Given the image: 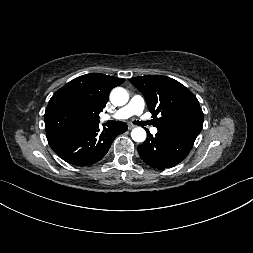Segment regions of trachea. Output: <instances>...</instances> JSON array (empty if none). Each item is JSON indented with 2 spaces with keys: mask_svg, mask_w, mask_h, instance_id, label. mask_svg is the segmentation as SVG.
<instances>
[{
  "mask_svg": "<svg viewBox=\"0 0 253 253\" xmlns=\"http://www.w3.org/2000/svg\"><path fill=\"white\" fill-rule=\"evenodd\" d=\"M133 123L139 126H144L146 124L145 122L142 121H134Z\"/></svg>",
  "mask_w": 253,
  "mask_h": 253,
  "instance_id": "trachea-1",
  "label": "trachea"
}]
</instances>
